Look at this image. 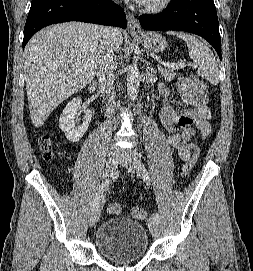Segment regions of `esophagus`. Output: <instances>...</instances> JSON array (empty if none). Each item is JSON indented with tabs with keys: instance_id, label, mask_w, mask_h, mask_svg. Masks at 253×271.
I'll return each mask as SVG.
<instances>
[{
	"instance_id": "obj_1",
	"label": "esophagus",
	"mask_w": 253,
	"mask_h": 271,
	"mask_svg": "<svg viewBox=\"0 0 253 271\" xmlns=\"http://www.w3.org/2000/svg\"><path fill=\"white\" fill-rule=\"evenodd\" d=\"M127 29L132 34L141 33V27L137 18L130 12L127 13Z\"/></svg>"
}]
</instances>
